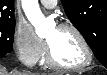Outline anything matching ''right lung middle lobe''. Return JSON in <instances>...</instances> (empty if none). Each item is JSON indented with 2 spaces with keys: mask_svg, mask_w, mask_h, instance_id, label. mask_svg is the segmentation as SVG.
<instances>
[{
  "mask_svg": "<svg viewBox=\"0 0 107 75\" xmlns=\"http://www.w3.org/2000/svg\"><path fill=\"white\" fill-rule=\"evenodd\" d=\"M15 18L0 20V52L10 53L13 49Z\"/></svg>",
  "mask_w": 107,
  "mask_h": 75,
  "instance_id": "obj_1",
  "label": "right lung middle lobe"
}]
</instances>
